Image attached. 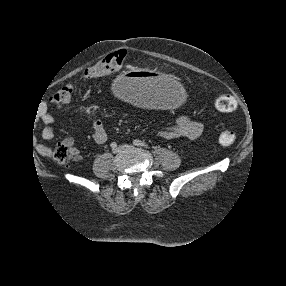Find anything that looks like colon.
<instances>
[{
  "label": "colon",
  "instance_id": "1",
  "mask_svg": "<svg viewBox=\"0 0 286 286\" xmlns=\"http://www.w3.org/2000/svg\"><path fill=\"white\" fill-rule=\"evenodd\" d=\"M126 51L118 50L112 52L89 67L80 80L89 81L106 75L120 73L126 63ZM79 81H74L62 86L51 96V102L56 106H63L69 103L75 92ZM216 108L223 113H232L237 108V101L230 95H224L216 100ZM237 134L234 130L223 129L218 134V141L222 146H231L236 142ZM52 157L60 163H64L73 158L70 148L64 143H58L52 150Z\"/></svg>",
  "mask_w": 286,
  "mask_h": 286
}]
</instances>
